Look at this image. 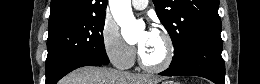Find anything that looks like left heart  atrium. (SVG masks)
<instances>
[{
    "mask_svg": "<svg viewBox=\"0 0 260 84\" xmlns=\"http://www.w3.org/2000/svg\"><path fill=\"white\" fill-rule=\"evenodd\" d=\"M147 36L148 37H152L153 35L156 34V32L153 30V29H149L147 32H146Z\"/></svg>",
    "mask_w": 260,
    "mask_h": 84,
    "instance_id": "1",
    "label": "left heart atrium"
}]
</instances>
